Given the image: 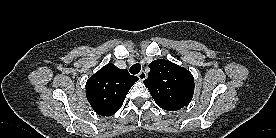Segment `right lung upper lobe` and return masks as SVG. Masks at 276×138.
Returning a JSON list of instances; mask_svg holds the SVG:
<instances>
[{"label":"right lung upper lobe","instance_id":"obj_1","mask_svg":"<svg viewBox=\"0 0 276 138\" xmlns=\"http://www.w3.org/2000/svg\"><path fill=\"white\" fill-rule=\"evenodd\" d=\"M138 80L126 69L107 64L86 83V96L94 111L101 116H112L122 106L127 93Z\"/></svg>","mask_w":276,"mask_h":138}]
</instances>
